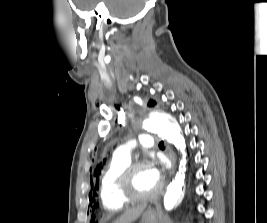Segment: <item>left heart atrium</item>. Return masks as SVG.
<instances>
[{"label":"left heart atrium","instance_id":"obj_1","mask_svg":"<svg viewBox=\"0 0 267 223\" xmlns=\"http://www.w3.org/2000/svg\"><path fill=\"white\" fill-rule=\"evenodd\" d=\"M150 176L155 182H160L161 173L157 168L151 167L150 168Z\"/></svg>","mask_w":267,"mask_h":223}]
</instances>
